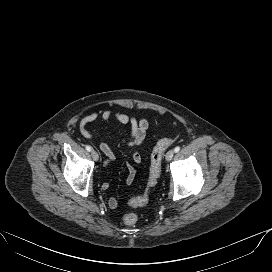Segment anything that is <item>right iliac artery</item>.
<instances>
[{"mask_svg":"<svg viewBox=\"0 0 272 272\" xmlns=\"http://www.w3.org/2000/svg\"><path fill=\"white\" fill-rule=\"evenodd\" d=\"M86 150L88 151V152H90L91 150H92V148L90 147V146H86Z\"/></svg>","mask_w":272,"mask_h":272,"instance_id":"82829eb1","label":"right iliac artery"}]
</instances>
